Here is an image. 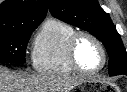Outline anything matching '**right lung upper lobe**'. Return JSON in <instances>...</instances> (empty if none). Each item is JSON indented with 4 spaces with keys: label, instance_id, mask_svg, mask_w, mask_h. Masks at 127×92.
I'll return each mask as SVG.
<instances>
[{
    "label": "right lung upper lobe",
    "instance_id": "obj_1",
    "mask_svg": "<svg viewBox=\"0 0 127 92\" xmlns=\"http://www.w3.org/2000/svg\"><path fill=\"white\" fill-rule=\"evenodd\" d=\"M48 11L47 0H8L0 6V31L38 26Z\"/></svg>",
    "mask_w": 127,
    "mask_h": 92
}]
</instances>
